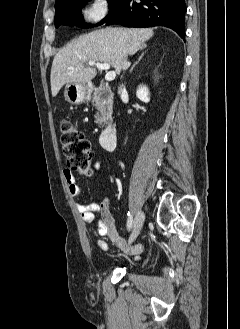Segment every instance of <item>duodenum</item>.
<instances>
[{"mask_svg": "<svg viewBox=\"0 0 240 329\" xmlns=\"http://www.w3.org/2000/svg\"><path fill=\"white\" fill-rule=\"evenodd\" d=\"M117 131L114 127H107L100 134V145L106 151H112L115 147Z\"/></svg>", "mask_w": 240, "mask_h": 329, "instance_id": "410a0bca", "label": "duodenum"}]
</instances>
